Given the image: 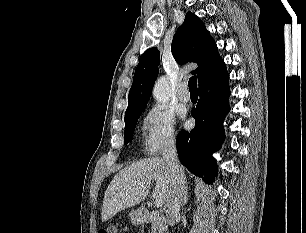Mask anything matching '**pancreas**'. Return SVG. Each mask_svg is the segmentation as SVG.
Returning a JSON list of instances; mask_svg holds the SVG:
<instances>
[{"label":"pancreas","mask_w":306,"mask_h":233,"mask_svg":"<svg viewBox=\"0 0 306 233\" xmlns=\"http://www.w3.org/2000/svg\"><path fill=\"white\" fill-rule=\"evenodd\" d=\"M165 232V219L155 210L151 212V233H164Z\"/></svg>","instance_id":"1"}]
</instances>
